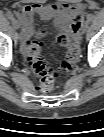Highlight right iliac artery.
Masks as SVG:
<instances>
[{"label":"right iliac artery","instance_id":"obj_1","mask_svg":"<svg viewBox=\"0 0 104 137\" xmlns=\"http://www.w3.org/2000/svg\"><path fill=\"white\" fill-rule=\"evenodd\" d=\"M6 16H7L8 19H10V20L13 19V14H12L10 11H8V12L6 13Z\"/></svg>","mask_w":104,"mask_h":137}]
</instances>
